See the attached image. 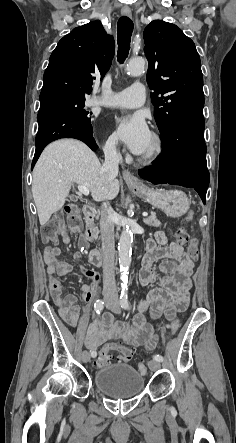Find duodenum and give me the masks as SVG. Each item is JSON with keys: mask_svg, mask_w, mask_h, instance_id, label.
<instances>
[{"mask_svg": "<svg viewBox=\"0 0 236 443\" xmlns=\"http://www.w3.org/2000/svg\"><path fill=\"white\" fill-rule=\"evenodd\" d=\"M84 217L88 222L85 239L91 241L94 238L95 231L92 225L93 219L96 217V210L93 206L87 205L84 207ZM89 260L94 266H101V258L98 249H91L89 253Z\"/></svg>", "mask_w": 236, "mask_h": 443, "instance_id": "1", "label": "duodenum"}]
</instances>
